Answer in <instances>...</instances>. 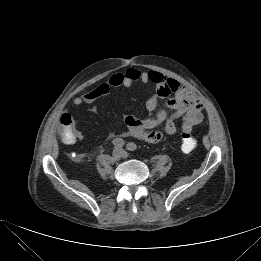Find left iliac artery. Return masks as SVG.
<instances>
[{"mask_svg":"<svg viewBox=\"0 0 261 261\" xmlns=\"http://www.w3.org/2000/svg\"><path fill=\"white\" fill-rule=\"evenodd\" d=\"M126 148H127L129 151H135L136 148H137V146H136V144H134V143L131 142V143H128V144H127Z\"/></svg>","mask_w":261,"mask_h":261,"instance_id":"1","label":"left iliac artery"}]
</instances>
